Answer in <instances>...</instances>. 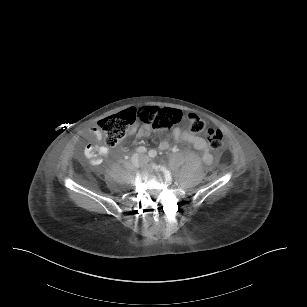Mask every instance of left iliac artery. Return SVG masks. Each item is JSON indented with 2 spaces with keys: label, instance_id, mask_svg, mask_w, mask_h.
<instances>
[{
  "label": "left iliac artery",
  "instance_id": "44dca946",
  "mask_svg": "<svg viewBox=\"0 0 307 307\" xmlns=\"http://www.w3.org/2000/svg\"><path fill=\"white\" fill-rule=\"evenodd\" d=\"M148 155L151 158H155L157 156V152H156V150L152 149V150L149 151Z\"/></svg>",
  "mask_w": 307,
  "mask_h": 307
}]
</instances>
